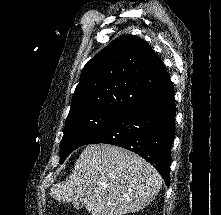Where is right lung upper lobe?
Returning a JSON list of instances; mask_svg holds the SVG:
<instances>
[{
  "mask_svg": "<svg viewBox=\"0 0 221 215\" xmlns=\"http://www.w3.org/2000/svg\"><path fill=\"white\" fill-rule=\"evenodd\" d=\"M169 81L160 57L141 38L124 35L83 68L69 114L104 110L123 114Z\"/></svg>",
  "mask_w": 221,
  "mask_h": 215,
  "instance_id": "obj_1",
  "label": "right lung upper lobe"
}]
</instances>
